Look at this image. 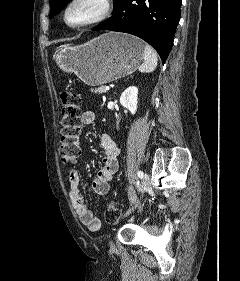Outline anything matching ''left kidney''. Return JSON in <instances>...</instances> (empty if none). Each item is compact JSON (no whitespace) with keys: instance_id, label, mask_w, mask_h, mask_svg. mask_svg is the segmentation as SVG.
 Segmentation results:
<instances>
[{"instance_id":"5707ae66","label":"left kidney","mask_w":240,"mask_h":281,"mask_svg":"<svg viewBox=\"0 0 240 281\" xmlns=\"http://www.w3.org/2000/svg\"><path fill=\"white\" fill-rule=\"evenodd\" d=\"M138 88L135 86L128 87L120 97V103L127 108L131 114L137 110Z\"/></svg>"}]
</instances>
